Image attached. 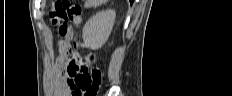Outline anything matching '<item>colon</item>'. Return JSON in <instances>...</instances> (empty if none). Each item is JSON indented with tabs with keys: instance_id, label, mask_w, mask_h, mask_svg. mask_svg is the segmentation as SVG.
I'll return each instance as SVG.
<instances>
[{
	"instance_id": "1",
	"label": "colon",
	"mask_w": 232,
	"mask_h": 96,
	"mask_svg": "<svg viewBox=\"0 0 232 96\" xmlns=\"http://www.w3.org/2000/svg\"><path fill=\"white\" fill-rule=\"evenodd\" d=\"M52 24L61 36L69 34V24L79 26L81 7L73 0H53L50 11ZM81 42L68 47L67 73L74 74V96H96L101 86L102 74L96 66L93 53H85Z\"/></svg>"
}]
</instances>
